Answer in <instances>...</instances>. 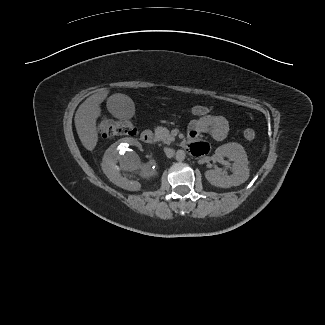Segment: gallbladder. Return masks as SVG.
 <instances>
[{
    "label": "gallbladder",
    "instance_id": "1",
    "mask_svg": "<svg viewBox=\"0 0 325 325\" xmlns=\"http://www.w3.org/2000/svg\"><path fill=\"white\" fill-rule=\"evenodd\" d=\"M107 108L118 119H130L135 113L134 104L128 99H121L118 102H108Z\"/></svg>",
    "mask_w": 325,
    "mask_h": 325
}]
</instances>
